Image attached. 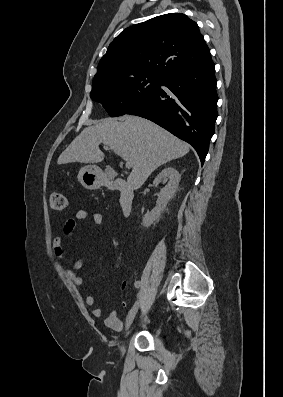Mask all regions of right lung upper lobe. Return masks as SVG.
Segmentation results:
<instances>
[{
	"instance_id": "obj_1",
	"label": "right lung upper lobe",
	"mask_w": 283,
	"mask_h": 397,
	"mask_svg": "<svg viewBox=\"0 0 283 397\" xmlns=\"http://www.w3.org/2000/svg\"><path fill=\"white\" fill-rule=\"evenodd\" d=\"M211 60L196 22L185 14H164L124 29L100 60L93 82L137 76L164 80Z\"/></svg>"
}]
</instances>
